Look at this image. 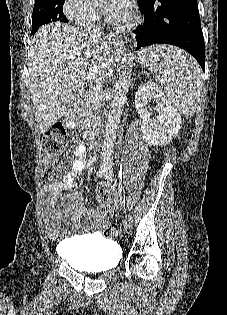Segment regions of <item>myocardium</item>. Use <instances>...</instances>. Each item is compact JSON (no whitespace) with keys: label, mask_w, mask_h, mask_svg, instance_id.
<instances>
[{"label":"myocardium","mask_w":227,"mask_h":315,"mask_svg":"<svg viewBox=\"0 0 227 315\" xmlns=\"http://www.w3.org/2000/svg\"><path fill=\"white\" fill-rule=\"evenodd\" d=\"M136 22H137V17L135 15H132L129 22L126 25L119 26V27L123 29H129V28H132L136 24Z\"/></svg>","instance_id":"obj_1"}]
</instances>
